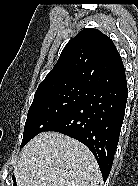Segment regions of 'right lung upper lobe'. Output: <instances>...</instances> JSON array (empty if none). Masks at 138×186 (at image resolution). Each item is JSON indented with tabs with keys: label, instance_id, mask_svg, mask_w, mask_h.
Here are the masks:
<instances>
[{
	"label": "right lung upper lobe",
	"instance_id": "1",
	"mask_svg": "<svg viewBox=\"0 0 138 186\" xmlns=\"http://www.w3.org/2000/svg\"><path fill=\"white\" fill-rule=\"evenodd\" d=\"M125 83L124 65L112 40L97 29L86 28L67 43L36 93L70 85L95 89Z\"/></svg>",
	"mask_w": 138,
	"mask_h": 186
}]
</instances>
